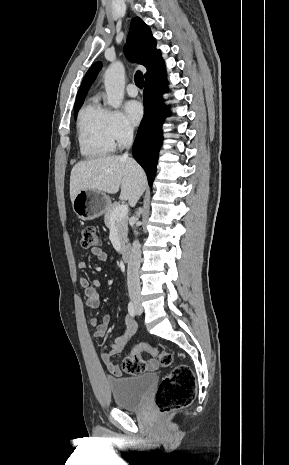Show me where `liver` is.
Returning a JSON list of instances; mask_svg holds the SVG:
<instances>
[{"label":"liver","mask_w":289,"mask_h":465,"mask_svg":"<svg viewBox=\"0 0 289 465\" xmlns=\"http://www.w3.org/2000/svg\"><path fill=\"white\" fill-rule=\"evenodd\" d=\"M147 179L142 167L132 158L110 155L80 161L70 175V198L82 190L115 194L121 188L120 199L134 206L144 192Z\"/></svg>","instance_id":"obj_1"}]
</instances>
